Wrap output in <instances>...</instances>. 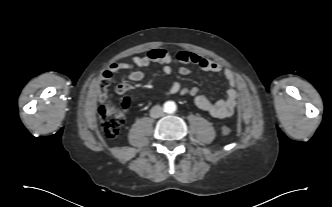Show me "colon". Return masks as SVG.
<instances>
[{
	"mask_svg": "<svg viewBox=\"0 0 332 207\" xmlns=\"http://www.w3.org/2000/svg\"><path fill=\"white\" fill-rule=\"evenodd\" d=\"M127 89V84L120 83L116 87L109 89L108 94L115 96L112 100H105L99 107V117L101 131L107 138H115L118 136L124 121V112L130 106L129 98L124 94ZM103 98L106 93H102ZM231 128L229 126L222 127V134L230 135Z\"/></svg>",
	"mask_w": 332,
	"mask_h": 207,
	"instance_id": "5ec220e1",
	"label": "colon"
}]
</instances>
